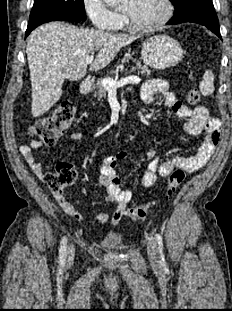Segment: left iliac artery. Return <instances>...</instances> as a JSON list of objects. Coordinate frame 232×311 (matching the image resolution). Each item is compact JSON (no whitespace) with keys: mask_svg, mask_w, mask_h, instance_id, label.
<instances>
[{"mask_svg":"<svg viewBox=\"0 0 232 311\" xmlns=\"http://www.w3.org/2000/svg\"><path fill=\"white\" fill-rule=\"evenodd\" d=\"M155 238H156V241H157L158 246H159L158 249H159V251H160V253L162 255V263L164 264L165 260L163 258V254H162V251H163V238H162V236L160 234H156Z\"/></svg>","mask_w":232,"mask_h":311,"instance_id":"44dca946","label":"left iliac artery"}]
</instances>
